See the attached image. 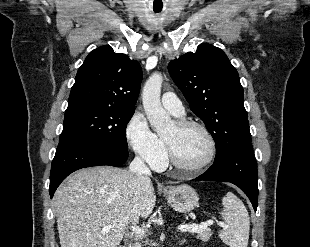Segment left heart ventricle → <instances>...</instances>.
I'll list each match as a JSON object with an SVG mask.
<instances>
[{
	"label": "left heart ventricle",
	"mask_w": 310,
	"mask_h": 247,
	"mask_svg": "<svg viewBox=\"0 0 310 247\" xmlns=\"http://www.w3.org/2000/svg\"><path fill=\"white\" fill-rule=\"evenodd\" d=\"M177 160L187 166L202 163L209 154V143L198 128L179 129L175 123L165 132Z\"/></svg>",
	"instance_id": "left-heart-ventricle-1"
}]
</instances>
